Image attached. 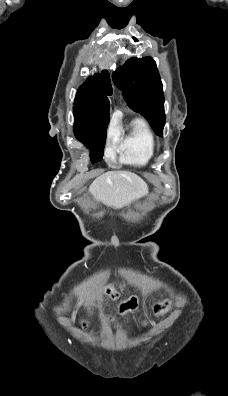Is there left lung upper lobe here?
I'll return each mask as SVG.
<instances>
[{"mask_svg":"<svg viewBox=\"0 0 228 396\" xmlns=\"http://www.w3.org/2000/svg\"><path fill=\"white\" fill-rule=\"evenodd\" d=\"M128 106L140 112L154 132L162 136L165 125L164 93L155 61L150 57L130 58L112 74Z\"/></svg>","mask_w":228,"mask_h":396,"instance_id":"5c2ea615","label":"left lung upper lobe"}]
</instances>
